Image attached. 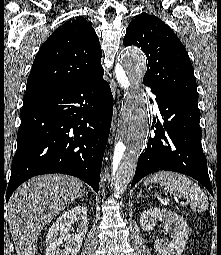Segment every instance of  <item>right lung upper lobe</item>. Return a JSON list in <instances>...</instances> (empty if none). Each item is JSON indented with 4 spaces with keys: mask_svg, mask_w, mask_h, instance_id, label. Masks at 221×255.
Masks as SVG:
<instances>
[{
    "mask_svg": "<svg viewBox=\"0 0 221 255\" xmlns=\"http://www.w3.org/2000/svg\"><path fill=\"white\" fill-rule=\"evenodd\" d=\"M102 51L91 22L78 17L57 28L41 46L25 96L82 81L103 70Z\"/></svg>",
    "mask_w": 221,
    "mask_h": 255,
    "instance_id": "obj_1",
    "label": "right lung upper lobe"
}]
</instances>
